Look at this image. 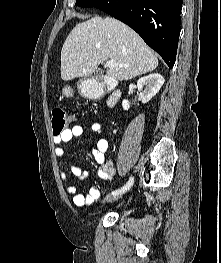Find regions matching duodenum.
Returning <instances> with one entry per match:
<instances>
[{"instance_id":"410a0bca","label":"duodenum","mask_w":221,"mask_h":263,"mask_svg":"<svg viewBox=\"0 0 221 263\" xmlns=\"http://www.w3.org/2000/svg\"><path fill=\"white\" fill-rule=\"evenodd\" d=\"M116 86H117V83L115 80L105 79L98 85L96 89V96H99L104 91L112 90L111 94L109 95L107 99V106L109 108H113L116 105V103L118 102L122 94L120 90L116 89Z\"/></svg>"}]
</instances>
